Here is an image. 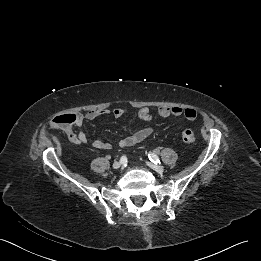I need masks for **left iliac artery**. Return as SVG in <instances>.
Masks as SVG:
<instances>
[{
    "mask_svg": "<svg viewBox=\"0 0 261 261\" xmlns=\"http://www.w3.org/2000/svg\"><path fill=\"white\" fill-rule=\"evenodd\" d=\"M148 157H149V159H150L154 164L160 163V160H159V158H158V156H157L156 154H154V153H149V154H148Z\"/></svg>",
    "mask_w": 261,
    "mask_h": 261,
    "instance_id": "left-iliac-artery-1",
    "label": "left iliac artery"
}]
</instances>
